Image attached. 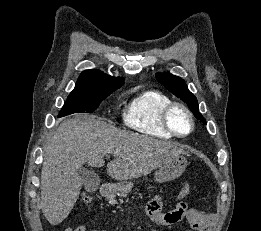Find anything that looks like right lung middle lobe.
I'll return each mask as SVG.
<instances>
[{
  "label": "right lung middle lobe",
  "mask_w": 261,
  "mask_h": 231,
  "mask_svg": "<svg viewBox=\"0 0 261 231\" xmlns=\"http://www.w3.org/2000/svg\"><path fill=\"white\" fill-rule=\"evenodd\" d=\"M112 92L101 94H73L67 97V100L59 112L58 117L70 115L73 113H92L94 112L106 97Z\"/></svg>",
  "instance_id": "obj_1"
}]
</instances>
